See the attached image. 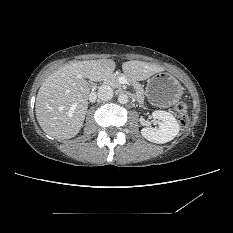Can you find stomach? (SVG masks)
<instances>
[{
    "instance_id": "0dacf381",
    "label": "stomach",
    "mask_w": 233,
    "mask_h": 233,
    "mask_svg": "<svg viewBox=\"0 0 233 233\" xmlns=\"http://www.w3.org/2000/svg\"><path fill=\"white\" fill-rule=\"evenodd\" d=\"M146 93L150 102L167 107L180 99L182 87L179 81L170 73L158 72L149 79Z\"/></svg>"
}]
</instances>
